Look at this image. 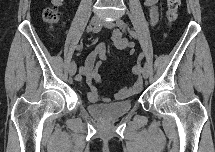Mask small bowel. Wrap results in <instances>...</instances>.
I'll list each match as a JSON object with an SVG mask.
<instances>
[{
  "label": "small bowel",
  "mask_w": 215,
  "mask_h": 152,
  "mask_svg": "<svg viewBox=\"0 0 215 152\" xmlns=\"http://www.w3.org/2000/svg\"><path fill=\"white\" fill-rule=\"evenodd\" d=\"M145 5L149 8L150 23L154 26L158 22L159 12L156 0H146ZM111 39L119 50H129L134 53L133 43L123 37L119 30L112 33ZM107 60V50L104 43H98L94 50L87 56L83 65L79 67V74L76 80H84L88 88L87 96L91 102L107 103L109 99L104 97L96 88V84L102 81L100 72L101 65ZM142 83L137 80L128 87L120 88L115 97L118 100L125 99L140 92Z\"/></svg>",
  "instance_id": "small-bowel-1"
}]
</instances>
